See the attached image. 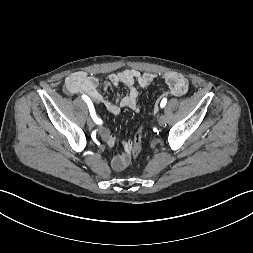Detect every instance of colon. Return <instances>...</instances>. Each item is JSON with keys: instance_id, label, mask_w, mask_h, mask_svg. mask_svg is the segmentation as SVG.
<instances>
[{"instance_id": "obj_1", "label": "colon", "mask_w": 253, "mask_h": 253, "mask_svg": "<svg viewBox=\"0 0 253 253\" xmlns=\"http://www.w3.org/2000/svg\"><path fill=\"white\" fill-rule=\"evenodd\" d=\"M130 150L134 158H137L141 154L142 151L141 128L137 130L131 142Z\"/></svg>"}]
</instances>
